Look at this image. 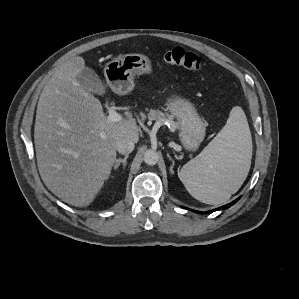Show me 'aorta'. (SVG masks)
Listing matches in <instances>:
<instances>
[{"instance_id": "obj_1", "label": "aorta", "mask_w": 299, "mask_h": 299, "mask_svg": "<svg viewBox=\"0 0 299 299\" xmlns=\"http://www.w3.org/2000/svg\"><path fill=\"white\" fill-rule=\"evenodd\" d=\"M158 160H159V155L157 151L153 149H149L144 153V162L147 165L153 166L157 164Z\"/></svg>"}]
</instances>
